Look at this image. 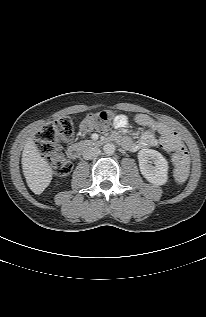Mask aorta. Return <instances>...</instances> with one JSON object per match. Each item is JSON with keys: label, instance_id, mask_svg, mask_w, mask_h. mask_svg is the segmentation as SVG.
I'll return each instance as SVG.
<instances>
[{"label": "aorta", "instance_id": "1", "mask_svg": "<svg viewBox=\"0 0 206 317\" xmlns=\"http://www.w3.org/2000/svg\"><path fill=\"white\" fill-rule=\"evenodd\" d=\"M116 147L113 143H107L103 146V151L105 154L112 155L114 154Z\"/></svg>", "mask_w": 206, "mask_h": 317}]
</instances>
